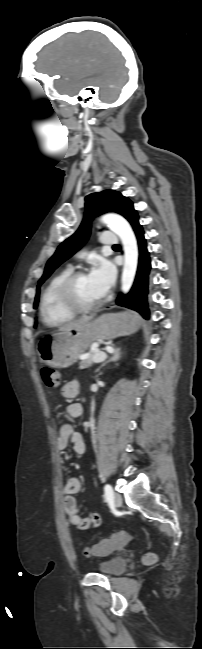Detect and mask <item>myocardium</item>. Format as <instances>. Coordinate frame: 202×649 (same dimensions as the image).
Returning <instances> with one entry per match:
<instances>
[{
  "instance_id": "f54148a6",
  "label": "myocardium",
  "mask_w": 202,
  "mask_h": 649,
  "mask_svg": "<svg viewBox=\"0 0 202 649\" xmlns=\"http://www.w3.org/2000/svg\"><path fill=\"white\" fill-rule=\"evenodd\" d=\"M84 275H86L84 270L72 272L63 281L59 289V296L64 306L76 314L91 312L100 307L105 301L104 297L90 304H84L78 300L76 296V285L78 280Z\"/></svg>"
}]
</instances>
